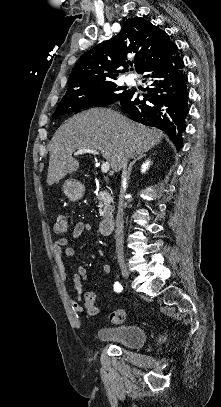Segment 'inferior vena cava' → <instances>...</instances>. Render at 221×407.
<instances>
[{
    "label": "inferior vena cava",
    "instance_id": "602c4592",
    "mask_svg": "<svg viewBox=\"0 0 221 407\" xmlns=\"http://www.w3.org/2000/svg\"><path fill=\"white\" fill-rule=\"evenodd\" d=\"M126 167L127 162L124 161L122 164V183L126 182ZM124 192L121 189L120 191V201L118 205V212L116 216V229H115V240H116V254L118 262H124V250H123V198Z\"/></svg>",
    "mask_w": 221,
    "mask_h": 407
}]
</instances>
